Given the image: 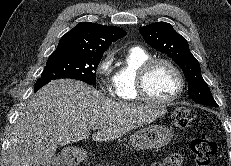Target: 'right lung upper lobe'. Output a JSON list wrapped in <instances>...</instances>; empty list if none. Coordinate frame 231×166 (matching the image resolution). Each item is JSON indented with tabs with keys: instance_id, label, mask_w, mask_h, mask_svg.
Wrapping results in <instances>:
<instances>
[{
	"instance_id": "obj_1",
	"label": "right lung upper lobe",
	"mask_w": 231,
	"mask_h": 166,
	"mask_svg": "<svg viewBox=\"0 0 231 166\" xmlns=\"http://www.w3.org/2000/svg\"><path fill=\"white\" fill-rule=\"evenodd\" d=\"M126 34L119 27L81 22L61 37L56 50L68 49L80 53L103 55L112 42Z\"/></svg>"
}]
</instances>
